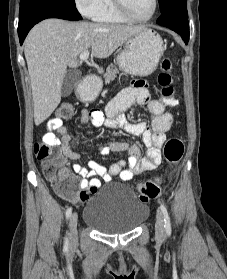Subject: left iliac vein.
I'll list each match as a JSON object with an SVG mask.
<instances>
[{
    "label": "left iliac vein",
    "mask_w": 227,
    "mask_h": 279,
    "mask_svg": "<svg viewBox=\"0 0 227 279\" xmlns=\"http://www.w3.org/2000/svg\"><path fill=\"white\" fill-rule=\"evenodd\" d=\"M156 233L159 237H164L165 236V230H164V218L163 214L161 211H157L156 215Z\"/></svg>",
    "instance_id": "left-iliac-vein-1"
}]
</instances>
